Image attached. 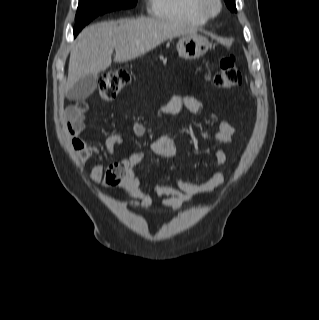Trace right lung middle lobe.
<instances>
[{
	"label": "right lung middle lobe",
	"instance_id": "1",
	"mask_svg": "<svg viewBox=\"0 0 319 320\" xmlns=\"http://www.w3.org/2000/svg\"><path fill=\"white\" fill-rule=\"evenodd\" d=\"M137 0H80L74 26V32L80 30L96 16L113 10L132 8Z\"/></svg>",
	"mask_w": 319,
	"mask_h": 320
}]
</instances>
